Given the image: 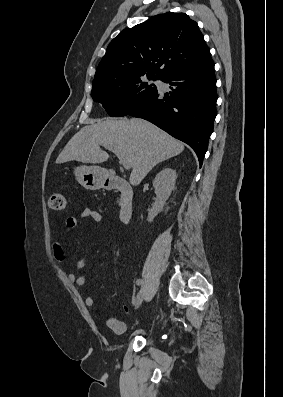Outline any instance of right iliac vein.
Segmentation results:
<instances>
[{
    "mask_svg": "<svg viewBox=\"0 0 283 397\" xmlns=\"http://www.w3.org/2000/svg\"><path fill=\"white\" fill-rule=\"evenodd\" d=\"M143 296H144V290L141 289L139 294L137 295L136 308H138L141 305L143 301Z\"/></svg>",
    "mask_w": 283,
    "mask_h": 397,
    "instance_id": "right-iliac-vein-1",
    "label": "right iliac vein"
}]
</instances>
